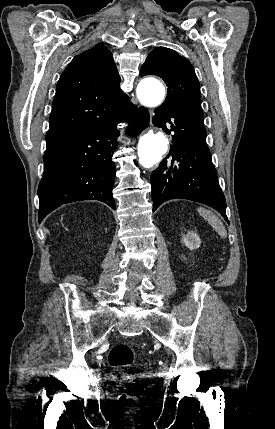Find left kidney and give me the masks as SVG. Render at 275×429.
<instances>
[{
    "instance_id": "1",
    "label": "left kidney",
    "mask_w": 275,
    "mask_h": 429,
    "mask_svg": "<svg viewBox=\"0 0 275 429\" xmlns=\"http://www.w3.org/2000/svg\"><path fill=\"white\" fill-rule=\"evenodd\" d=\"M183 243L190 250H195L200 247L201 239L196 232L188 231L187 234L183 237Z\"/></svg>"
}]
</instances>
